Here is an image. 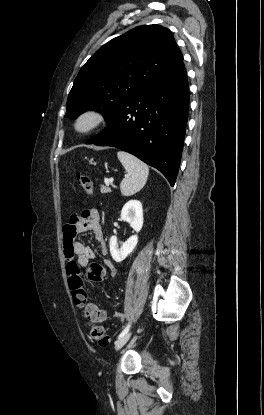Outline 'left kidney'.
Instances as JSON below:
<instances>
[{
	"instance_id": "left-kidney-1",
	"label": "left kidney",
	"mask_w": 264,
	"mask_h": 415,
	"mask_svg": "<svg viewBox=\"0 0 264 415\" xmlns=\"http://www.w3.org/2000/svg\"><path fill=\"white\" fill-rule=\"evenodd\" d=\"M121 219L130 224L136 231L140 232L143 226V208L139 200H129L121 210ZM138 243V236H131L126 242L121 243L119 248L116 236L110 238L109 246L110 253L116 262L123 261L136 247Z\"/></svg>"
}]
</instances>
